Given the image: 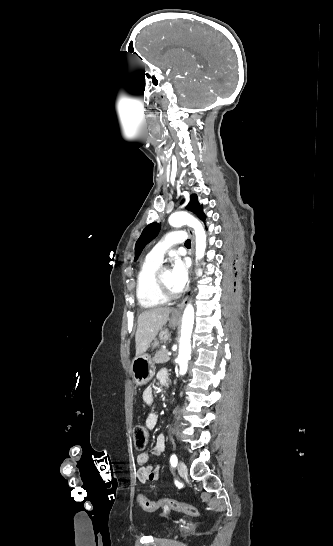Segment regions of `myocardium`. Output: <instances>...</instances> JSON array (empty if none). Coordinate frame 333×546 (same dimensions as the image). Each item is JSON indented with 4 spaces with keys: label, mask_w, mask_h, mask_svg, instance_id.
Returning <instances> with one entry per match:
<instances>
[{
    "label": "myocardium",
    "mask_w": 333,
    "mask_h": 546,
    "mask_svg": "<svg viewBox=\"0 0 333 546\" xmlns=\"http://www.w3.org/2000/svg\"><path fill=\"white\" fill-rule=\"evenodd\" d=\"M164 271H165V268L163 267L159 268V270L157 271L154 278L155 289L157 293L166 300L176 299L178 298L179 293L172 292L163 283L162 276Z\"/></svg>",
    "instance_id": "obj_1"
}]
</instances>
